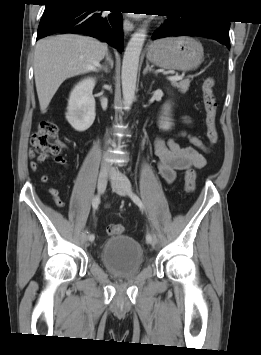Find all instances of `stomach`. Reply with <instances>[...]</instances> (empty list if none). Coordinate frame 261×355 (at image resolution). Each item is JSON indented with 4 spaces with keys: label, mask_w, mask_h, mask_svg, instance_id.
Listing matches in <instances>:
<instances>
[{
    "label": "stomach",
    "mask_w": 261,
    "mask_h": 355,
    "mask_svg": "<svg viewBox=\"0 0 261 355\" xmlns=\"http://www.w3.org/2000/svg\"><path fill=\"white\" fill-rule=\"evenodd\" d=\"M201 43L191 37H169L150 44L147 59L154 65L169 70L188 71L203 61Z\"/></svg>",
    "instance_id": "obj_1"
}]
</instances>
